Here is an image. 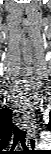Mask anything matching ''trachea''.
<instances>
[{
    "label": "trachea",
    "instance_id": "obj_1",
    "mask_svg": "<svg viewBox=\"0 0 51 154\" xmlns=\"http://www.w3.org/2000/svg\"><path fill=\"white\" fill-rule=\"evenodd\" d=\"M14 134H15V141L17 142V139L19 138V136L21 135V131H20V129H16V131L14 132Z\"/></svg>",
    "mask_w": 51,
    "mask_h": 154
}]
</instances>
